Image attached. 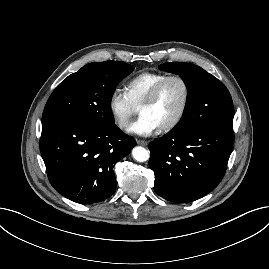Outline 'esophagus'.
<instances>
[{
  "instance_id": "1",
  "label": "esophagus",
  "mask_w": 269,
  "mask_h": 269,
  "mask_svg": "<svg viewBox=\"0 0 269 269\" xmlns=\"http://www.w3.org/2000/svg\"><path fill=\"white\" fill-rule=\"evenodd\" d=\"M137 144L142 145V146H146L148 144V142L145 140L137 139Z\"/></svg>"
}]
</instances>
